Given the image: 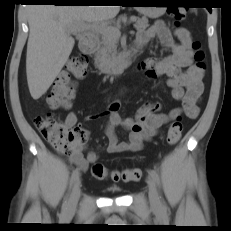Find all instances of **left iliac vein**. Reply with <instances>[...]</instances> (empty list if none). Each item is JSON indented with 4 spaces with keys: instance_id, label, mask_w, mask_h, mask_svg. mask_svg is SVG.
<instances>
[{
    "instance_id": "4c4485c4",
    "label": "left iliac vein",
    "mask_w": 231,
    "mask_h": 231,
    "mask_svg": "<svg viewBox=\"0 0 231 231\" xmlns=\"http://www.w3.org/2000/svg\"><path fill=\"white\" fill-rule=\"evenodd\" d=\"M147 185L149 190V201L153 208H159L160 207V201L157 194L156 186L151 177L147 178Z\"/></svg>"
}]
</instances>
